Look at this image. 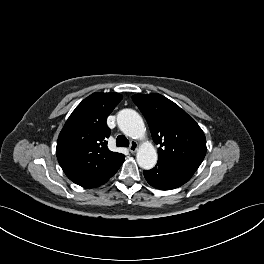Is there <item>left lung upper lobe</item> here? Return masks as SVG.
I'll use <instances>...</instances> for the list:
<instances>
[{
	"label": "left lung upper lobe",
	"mask_w": 264,
	"mask_h": 264,
	"mask_svg": "<svg viewBox=\"0 0 264 264\" xmlns=\"http://www.w3.org/2000/svg\"><path fill=\"white\" fill-rule=\"evenodd\" d=\"M132 98L146 118L154 142L160 145L158 159L197 170L206 154V138L193 118L158 93L136 94Z\"/></svg>",
	"instance_id": "left-lung-upper-lobe-1"
}]
</instances>
